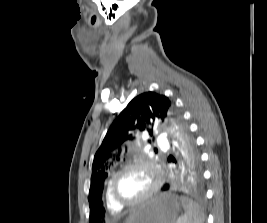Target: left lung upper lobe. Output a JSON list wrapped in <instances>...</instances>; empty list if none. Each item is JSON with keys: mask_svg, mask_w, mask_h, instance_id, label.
Masks as SVG:
<instances>
[{"mask_svg": "<svg viewBox=\"0 0 267 223\" xmlns=\"http://www.w3.org/2000/svg\"><path fill=\"white\" fill-rule=\"evenodd\" d=\"M158 123L166 126L175 137L183 153L184 170L202 171L195 141L181 115L176 112L173 102L164 95L143 93L135 97L114 120L94 156L93 181L87 199L91 216L94 214L101 217L108 211V206H103L101 199L104 180L108 167L118 160L124 142L134 140L138 131L147 130L152 134L151 128Z\"/></svg>", "mask_w": 267, "mask_h": 223, "instance_id": "1", "label": "left lung upper lobe"}]
</instances>
